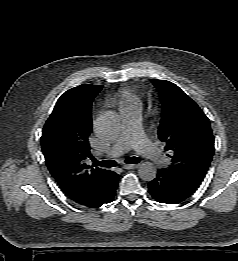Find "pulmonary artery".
<instances>
[{"label":"pulmonary artery","instance_id":"e3ab8cb5","mask_svg":"<svg viewBox=\"0 0 238 261\" xmlns=\"http://www.w3.org/2000/svg\"><path fill=\"white\" fill-rule=\"evenodd\" d=\"M120 114L122 119L121 131L110 147L108 156L115 158L134 148L156 164L165 163L167 161L166 156L145 137L142 131L140 110L128 109L120 112Z\"/></svg>","mask_w":238,"mask_h":261}]
</instances>
